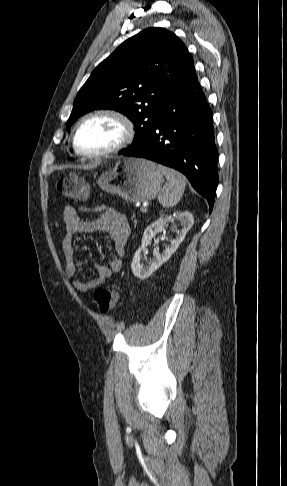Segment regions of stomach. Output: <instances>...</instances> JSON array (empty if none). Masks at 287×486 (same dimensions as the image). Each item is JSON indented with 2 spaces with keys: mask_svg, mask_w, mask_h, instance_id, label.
Masks as SVG:
<instances>
[{
  "mask_svg": "<svg viewBox=\"0 0 287 486\" xmlns=\"http://www.w3.org/2000/svg\"><path fill=\"white\" fill-rule=\"evenodd\" d=\"M163 173L156 163L135 157L116 160L115 166L103 172L99 187L130 202L151 200L161 191Z\"/></svg>",
  "mask_w": 287,
  "mask_h": 486,
  "instance_id": "stomach-1",
  "label": "stomach"
}]
</instances>
